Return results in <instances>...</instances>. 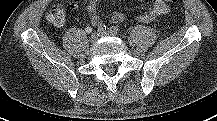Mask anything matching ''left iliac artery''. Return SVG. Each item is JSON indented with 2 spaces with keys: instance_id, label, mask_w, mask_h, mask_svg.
I'll use <instances>...</instances> for the list:
<instances>
[{
  "instance_id": "obj_1",
  "label": "left iliac artery",
  "mask_w": 217,
  "mask_h": 121,
  "mask_svg": "<svg viewBox=\"0 0 217 121\" xmlns=\"http://www.w3.org/2000/svg\"><path fill=\"white\" fill-rule=\"evenodd\" d=\"M110 32H112L113 34H118L119 33V29L116 26H111L110 27Z\"/></svg>"
}]
</instances>
